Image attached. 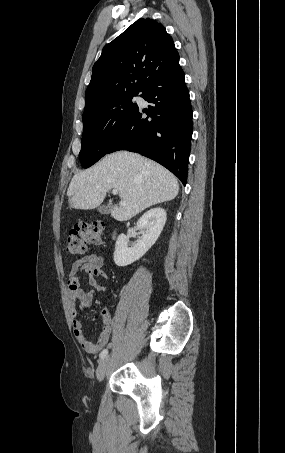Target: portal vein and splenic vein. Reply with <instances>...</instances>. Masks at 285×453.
Listing matches in <instances>:
<instances>
[{"label": "portal vein and splenic vein", "mask_w": 285, "mask_h": 453, "mask_svg": "<svg viewBox=\"0 0 285 453\" xmlns=\"http://www.w3.org/2000/svg\"><path fill=\"white\" fill-rule=\"evenodd\" d=\"M118 193H119L118 189H113V190H112V194H113V195H117Z\"/></svg>", "instance_id": "1"}]
</instances>
